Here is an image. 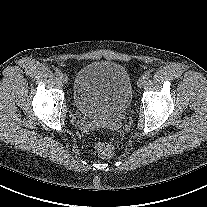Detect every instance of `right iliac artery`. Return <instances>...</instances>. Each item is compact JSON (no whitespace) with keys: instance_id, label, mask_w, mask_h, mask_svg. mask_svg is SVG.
<instances>
[{"instance_id":"82829eb1","label":"right iliac artery","mask_w":207,"mask_h":207,"mask_svg":"<svg viewBox=\"0 0 207 207\" xmlns=\"http://www.w3.org/2000/svg\"><path fill=\"white\" fill-rule=\"evenodd\" d=\"M55 74H56L57 76H60V75L62 74V72H61L59 69H56V70H55Z\"/></svg>"}]
</instances>
